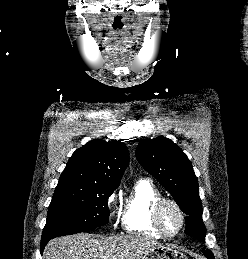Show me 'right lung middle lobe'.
<instances>
[{
    "label": "right lung middle lobe",
    "instance_id": "right-lung-middle-lobe-1",
    "mask_svg": "<svg viewBox=\"0 0 248 259\" xmlns=\"http://www.w3.org/2000/svg\"><path fill=\"white\" fill-rule=\"evenodd\" d=\"M115 187H56L42 238L88 231L109 221L108 198Z\"/></svg>",
    "mask_w": 248,
    "mask_h": 259
}]
</instances>
